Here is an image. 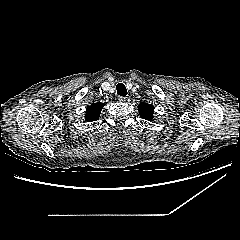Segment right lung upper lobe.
Returning <instances> with one entry per match:
<instances>
[{
	"mask_svg": "<svg viewBox=\"0 0 240 240\" xmlns=\"http://www.w3.org/2000/svg\"><path fill=\"white\" fill-rule=\"evenodd\" d=\"M104 103H94L90 105L85 114V120L87 122H92L98 120V117L101 113L102 108L104 107Z\"/></svg>",
	"mask_w": 240,
	"mask_h": 240,
	"instance_id": "obj_1",
	"label": "right lung upper lobe"
}]
</instances>
